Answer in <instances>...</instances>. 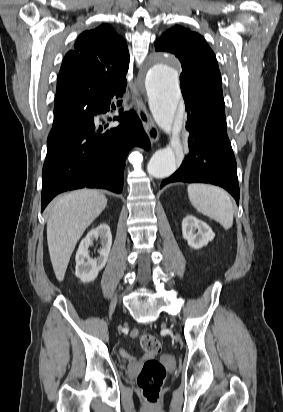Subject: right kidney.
I'll list each match as a JSON object with an SVG mask.
<instances>
[{"mask_svg": "<svg viewBox=\"0 0 283 412\" xmlns=\"http://www.w3.org/2000/svg\"><path fill=\"white\" fill-rule=\"evenodd\" d=\"M100 238L101 248L98 251L99 256L92 259L89 256V246L94 240ZM112 245V235L107 224H100L95 229L88 232L86 237L81 241L76 253L75 275L82 282H91L97 278L98 273L102 270L108 260Z\"/></svg>", "mask_w": 283, "mask_h": 412, "instance_id": "ca27d5eb", "label": "right kidney"}]
</instances>
